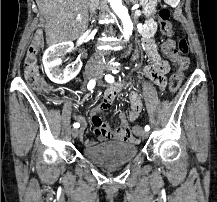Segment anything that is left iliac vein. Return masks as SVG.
<instances>
[{
	"instance_id": "4c4485c4",
	"label": "left iliac vein",
	"mask_w": 217,
	"mask_h": 202,
	"mask_svg": "<svg viewBox=\"0 0 217 202\" xmlns=\"http://www.w3.org/2000/svg\"><path fill=\"white\" fill-rule=\"evenodd\" d=\"M148 132L147 131H145V130H141L140 131V137L142 138V139H146L147 137H148Z\"/></svg>"
}]
</instances>
